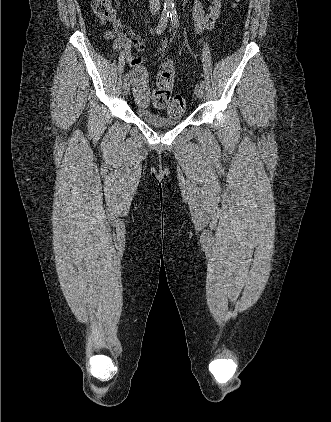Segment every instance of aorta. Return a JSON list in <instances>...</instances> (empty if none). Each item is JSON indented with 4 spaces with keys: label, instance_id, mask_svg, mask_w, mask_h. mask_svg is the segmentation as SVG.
Instances as JSON below:
<instances>
[{
    "label": "aorta",
    "instance_id": "aorta-1",
    "mask_svg": "<svg viewBox=\"0 0 331 422\" xmlns=\"http://www.w3.org/2000/svg\"><path fill=\"white\" fill-rule=\"evenodd\" d=\"M164 9L167 11L174 10V0H164Z\"/></svg>",
    "mask_w": 331,
    "mask_h": 422
}]
</instances>
